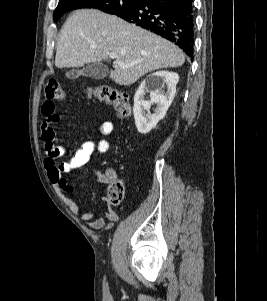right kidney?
I'll use <instances>...</instances> for the list:
<instances>
[{"instance_id": "obj_1", "label": "right kidney", "mask_w": 267, "mask_h": 301, "mask_svg": "<svg viewBox=\"0 0 267 301\" xmlns=\"http://www.w3.org/2000/svg\"><path fill=\"white\" fill-rule=\"evenodd\" d=\"M178 81L177 73L158 71L141 83L135 93L133 107L135 124L139 133L150 132L164 118L174 99ZM165 86L166 92L162 90ZM146 93H150V101L144 99ZM152 103L156 104V108L154 113L150 114L149 110Z\"/></svg>"}]
</instances>
